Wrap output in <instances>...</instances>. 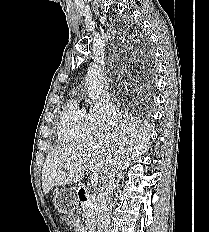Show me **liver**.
Wrapping results in <instances>:
<instances>
[{
  "instance_id": "obj_1",
  "label": "liver",
  "mask_w": 209,
  "mask_h": 232,
  "mask_svg": "<svg viewBox=\"0 0 209 232\" xmlns=\"http://www.w3.org/2000/svg\"><path fill=\"white\" fill-rule=\"evenodd\" d=\"M142 136H138L130 124H122L112 133L87 137L53 150L45 160L42 169V188L45 194L56 185L77 183L84 177L86 166L100 175V182L106 173L128 166L132 152L145 148Z\"/></svg>"
}]
</instances>
